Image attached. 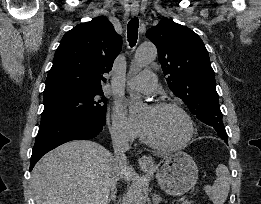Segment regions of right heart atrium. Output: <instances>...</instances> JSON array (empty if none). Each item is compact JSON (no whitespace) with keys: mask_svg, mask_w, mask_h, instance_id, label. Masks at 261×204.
<instances>
[{"mask_svg":"<svg viewBox=\"0 0 261 204\" xmlns=\"http://www.w3.org/2000/svg\"><path fill=\"white\" fill-rule=\"evenodd\" d=\"M109 130L114 138L127 143L134 142L141 135L139 124L129 118L120 105L112 108Z\"/></svg>","mask_w":261,"mask_h":204,"instance_id":"1","label":"right heart atrium"}]
</instances>
